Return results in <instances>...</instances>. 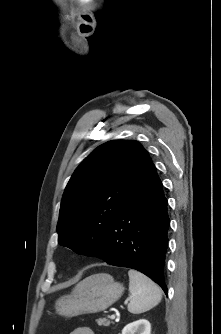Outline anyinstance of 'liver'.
Masks as SVG:
<instances>
[{
  "label": "liver",
  "mask_w": 221,
  "mask_h": 334,
  "mask_svg": "<svg viewBox=\"0 0 221 334\" xmlns=\"http://www.w3.org/2000/svg\"><path fill=\"white\" fill-rule=\"evenodd\" d=\"M81 283L77 284V286L75 287V289H77L80 286Z\"/></svg>",
  "instance_id": "1"
}]
</instances>
